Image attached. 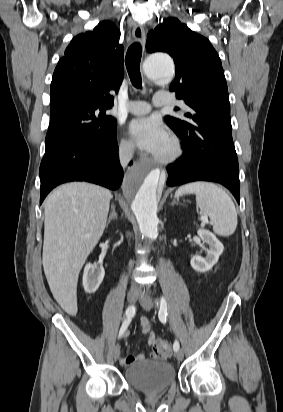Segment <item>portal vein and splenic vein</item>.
Segmentation results:
<instances>
[{
    "label": "portal vein and splenic vein",
    "instance_id": "obj_1",
    "mask_svg": "<svg viewBox=\"0 0 283 412\" xmlns=\"http://www.w3.org/2000/svg\"><path fill=\"white\" fill-rule=\"evenodd\" d=\"M201 222H202V224L207 223V222H208L207 216H202V217H201Z\"/></svg>",
    "mask_w": 283,
    "mask_h": 412
}]
</instances>
